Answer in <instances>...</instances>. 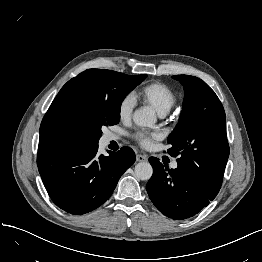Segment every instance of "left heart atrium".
Wrapping results in <instances>:
<instances>
[{
	"instance_id": "1",
	"label": "left heart atrium",
	"mask_w": 262,
	"mask_h": 262,
	"mask_svg": "<svg viewBox=\"0 0 262 262\" xmlns=\"http://www.w3.org/2000/svg\"><path fill=\"white\" fill-rule=\"evenodd\" d=\"M159 137V133L157 132H149V131H139L133 135V138L137 143H139L142 147L150 146L153 139H157Z\"/></svg>"
}]
</instances>
